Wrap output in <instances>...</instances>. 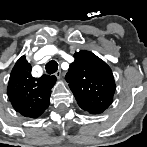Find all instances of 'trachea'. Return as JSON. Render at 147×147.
Listing matches in <instances>:
<instances>
[{
  "label": "trachea",
  "mask_w": 147,
  "mask_h": 147,
  "mask_svg": "<svg viewBox=\"0 0 147 147\" xmlns=\"http://www.w3.org/2000/svg\"><path fill=\"white\" fill-rule=\"evenodd\" d=\"M58 69V63L55 60H51L46 64V72L48 74H53Z\"/></svg>",
  "instance_id": "trachea-1"
}]
</instances>
